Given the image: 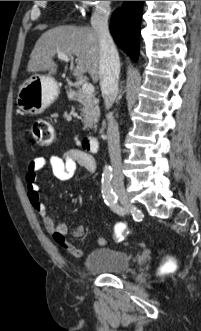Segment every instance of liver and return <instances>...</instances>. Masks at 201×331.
Masks as SVG:
<instances>
[{"instance_id": "6515ba94", "label": "liver", "mask_w": 201, "mask_h": 331, "mask_svg": "<svg viewBox=\"0 0 201 331\" xmlns=\"http://www.w3.org/2000/svg\"><path fill=\"white\" fill-rule=\"evenodd\" d=\"M58 53H63L70 58L77 57L74 76L81 77L88 72L94 83L100 79L99 37L92 28L58 26L46 31L32 50L27 71L29 73L48 71L49 76L56 74L58 65L54 57Z\"/></svg>"}]
</instances>
